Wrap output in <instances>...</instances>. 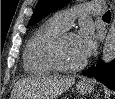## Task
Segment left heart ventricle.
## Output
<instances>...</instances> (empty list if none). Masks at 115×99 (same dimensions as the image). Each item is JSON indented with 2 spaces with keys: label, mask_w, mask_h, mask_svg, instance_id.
<instances>
[{
  "label": "left heart ventricle",
  "mask_w": 115,
  "mask_h": 99,
  "mask_svg": "<svg viewBox=\"0 0 115 99\" xmlns=\"http://www.w3.org/2000/svg\"><path fill=\"white\" fill-rule=\"evenodd\" d=\"M60 55L64 63L68 65H76L81 63L85 58L83 57L75 35L68 37L62 44Z\"/></svg>",
  "instance_id": "b2bd125f"
}]
</instances>
